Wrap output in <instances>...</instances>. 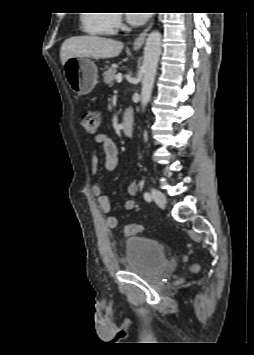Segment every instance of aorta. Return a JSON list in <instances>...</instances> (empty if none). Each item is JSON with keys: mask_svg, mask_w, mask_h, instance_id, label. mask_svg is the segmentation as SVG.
<instances>
[{"mask_svg": "<svg viewBox=\"0 0 254 355\" xmlns=\"http://www.w3.org/2000/svg\"><path fill=\"white\" fill-rule=\"evenodd\" d=\"M160 54L161 34L159 31H152L146 40L142 64L143 79L140 97L143 109H145L152 94Z\"/></svg>", "mask_w": 254, "mask_h": 355, "instance_id": "762f6f07", "label": "aorta"}]
</instances>
